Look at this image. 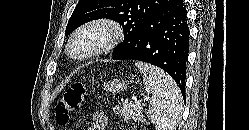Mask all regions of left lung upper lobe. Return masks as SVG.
<instances>
[{
  "label": "left lung upper lobe",
  "mask_w": 249,
  "mask_h": 130,
  "mask_svg": "<svg viewBox=\"0 0 249 130\" xmlns=\"http://www.w3.org/2000/svg\"><path fill=\"white\" fill-rule=\"evenodd\" d=\"M170 2L171 0H79L68 21L65 35L91 20H115L123 27L124 41L114 48V56L133 40L152 16L166 8Z\"/></svg>",
  "instance_id": "obj_1"
}]
</instances>
